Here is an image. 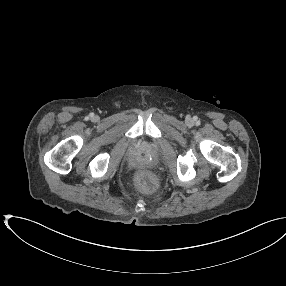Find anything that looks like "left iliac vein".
<instances>
[{"label":"left iliac vein","mask_w":286,"mask_h":286,"mask_svg":"<svg viewBox=\"0 0 286 286\" xmlns=\"http://www.w3.org/2000/svg\"><path fill=\"white\" fill-rule=\"evenodd\" d=\"M188 122H191V119H188Z\"/></svg>","instance_id":"obj_1"}]
</instances>
